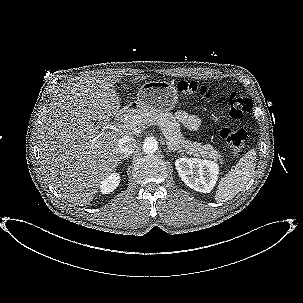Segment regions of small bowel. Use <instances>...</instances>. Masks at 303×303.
Masks as SVG:
<instances>
[{
    "mask_svg": "<svg viewBox=\"0 0 303 303\" xmlns=\"http://www.w3.org/2000/svg\"><path fill=\"white\" fill-rule=\"evenodd\" d=\"M178 122L188 130H195L199 125V119L195 115L179 111L176 114Z\"/></svg>",
    "mask_w": 303,
    "mask_h": 303,
    "instance_id": "small-bowel-1",
    "label": "small bowel"
}]
</instances>
